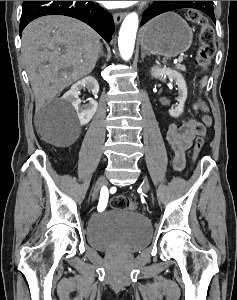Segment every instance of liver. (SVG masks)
<instances>
[{"instance_id":"1","label":"liver","mask_w":237,"mask_h":300,"mask_svg":"<svg viewBox=\"0 0 237 300\" xmlns=\"http://www.w3.org/2000/svg\"><path fill=\"white\" fill-rule=\"evenodd\" d=\"M100 45L93 29L71 17L49 15L29 23L21 51L36 101L44 103L89 75Z\"/></svg>"}]
</instances>
